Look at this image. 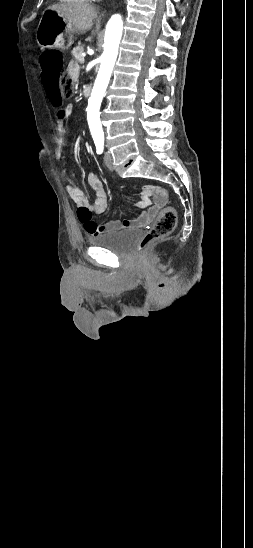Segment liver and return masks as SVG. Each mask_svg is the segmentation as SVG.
<instances>
[{"label": "liver", "mask_w": 253, "mask_h": 548, "mask_svg": "<svg viewBox=\"0 0 253 548\" xmlns=\"http://www.w3.org/2000/svg\"><path fill=\"white\" fill-rule=\"evenodd\" d=\"M63 17L71 32L86 33L91 29L93 20L97 15L96 8L83 3H61L48 7Z\"/></svg>", "instance_id": "1"}]
</instances>
